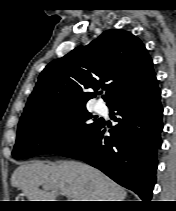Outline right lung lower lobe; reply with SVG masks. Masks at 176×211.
<instances>
[{
    "instance_id": "obj_1",
    "label": "right lung lower lobe",
    "mask_w": 176,
    "mask_h": 211,
    "mask_svg": "<svg viewBox=\"0 0 176 211\" xmlns=\"http://www.w3.org/2000/svg\"><path fill=\"white\" fill-rule=\"evenodd\" d=\"M160 94L156 82L139 96L111 106V111H117L118 124L110 136L101 121L80 143L57 154L85 161L149 201L163 128Z\"/></svg>"
}]
</instances>
